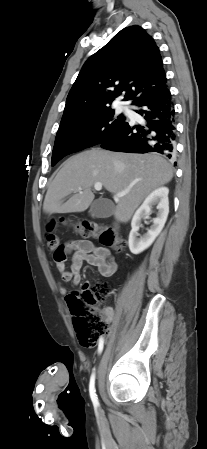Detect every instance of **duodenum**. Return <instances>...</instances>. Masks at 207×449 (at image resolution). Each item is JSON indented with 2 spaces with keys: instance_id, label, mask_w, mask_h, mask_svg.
Segmentation results:
<instances>
[{
  "instance_id": "1",
  "label": "duodenum",
  "mask_w": 207,
  "mask_h": 449,
  "mask_svg": "<svg viewBox=\"0 0 207 449\" xmlns=\"http://www.w3.org/2000/svg\"><path fill=\"white\" fill-rule=\"evenodd\" d=\"M114 230H115V231L118 230V226H117V225L114 226Z\"/></svg>"
}]
</instances>
